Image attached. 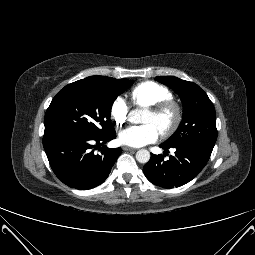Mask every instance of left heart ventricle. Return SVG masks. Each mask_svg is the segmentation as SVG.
<instances>
[{
    "label": "left heart ventricle",
    "instance_id": "b2bd125f",
    "mask_svg": "<svg viewBox=\"0 0 255 255\" xmlns=\"http://www.w3.org/2000/svg\"><path fill=\"white\" fill-rule=\"evenodd\" d=\"M171 118L172 116L170 113L156 115L148 110L143 117V123L153 124L161 131L170 122Z\"/></svg>",
    "mask_w": 255,
    "mask_h": 255
}]
</instances>
